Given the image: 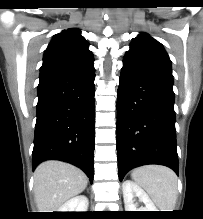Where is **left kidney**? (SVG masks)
<instances>
[{"instance_id":"5707ae66","label":"left kidney","mask_w":203,"mask_h":219,"mask_svg":"<svg viewBox=\"0 0 203 219\" xmlns=\"http://www.w3.org/2000/svg\"><path fill=\"white\" fill-rule=\"evenodd\" d=\"M122 188L126 211H157L154 203L146 192L133 181H124ZM134 197H138L139 201L143 202L145 206L138 208L137 204L134 203Z\"/></svg>"}]
</instances>
